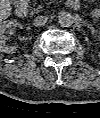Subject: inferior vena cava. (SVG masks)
I'll use <instances>...</instances> for the list:
<instances>
[{
    "label": "inferior vena cava",
    "instance_id": "obj_1",
    "mask_svg": "<svg viewBox=\"0 0 100 118\" xmlns=\"http://www.w3.org/2000/svg\"><path fill=\"white\" fill-rule=\"evenodd\" d=\"M48 18L46 16H37L35 19H34V25L35 26H43L46 22H47Z\"/></svg>",
    "mask_w": 100,
    "mask_h": 118
}]
</instances>
